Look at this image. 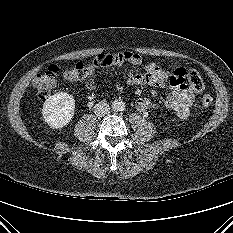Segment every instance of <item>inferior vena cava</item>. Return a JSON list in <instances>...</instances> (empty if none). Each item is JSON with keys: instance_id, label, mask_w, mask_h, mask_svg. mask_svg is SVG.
Wrapping results in <instances>:
<instances>
[{"instance_id": "602c4592", "label": "inferior vena cava", "mask_w": 233, "mask_h": 233, "mask_svg": "<svg viewBox=\"0 0 233 233\" xmlns=\"http://www.w3.org/2000/svg\"><path fill=\"white\" fill-rule=\"evenodd\" d=\"M110 111V107L109 105L102 101V102H99L97 103L95 106H94V113L97 115V116H104V115H107Z\"/></svg>"}]
</instances>
